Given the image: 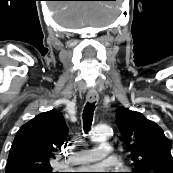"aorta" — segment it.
I'll list each match as a JSON object with an SVG mask.
<instances>
[{"label":"aorta","instance_id":"762f6f07","mask_svg":"<svg viewBox=\"0 0 173 173\" xmlns=\"http://www.w3.org/2000/svg\"><path fill=\"white\" fill-rule=\"evenodd\" d=\"M111 128L107 125L96 126L92 130V138L96 141L105 140L111 135Z\"/></svg>","mask_w":173,"mask_h":173}]
</instances>
